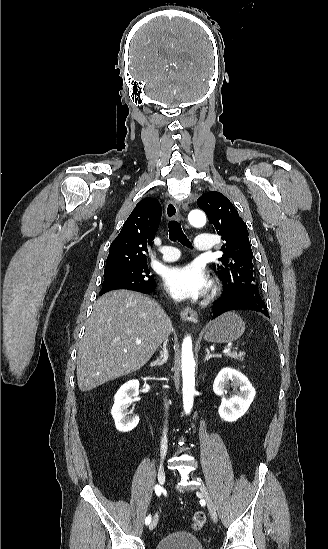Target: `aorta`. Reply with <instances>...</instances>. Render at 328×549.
<instances>
[{
    "instance_id": "1",
    "label": "aorta",
    "mask_w": 328,
    "mask_h": 549,
    "mask_svg": "<svg viewBox=\"0 0 328 549\" xmlns=\"http://www.w3.org/2000/svg\"><path fill=\"white\" fill-rule=\"evenodd\" d=\"M188 221L194 227H202L206 223V216L201 210L195 209L189 213ZM182 379L183 407L185 413L189 414L195 394V360L190 336L185 337L182 343Z\"/></svg>"
}]
</instances>
